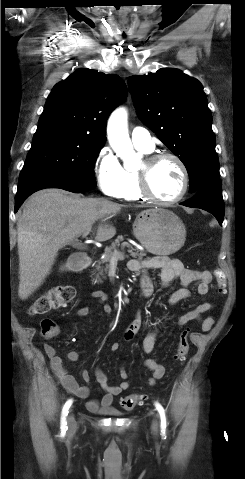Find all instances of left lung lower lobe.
<instances>
[{
  "mask_svg": "<svg viewBox=\"0 0 245 479\" xmlns=\"http://www.w3.org/2000/svg\"><path fill=\"white\" fill-rule=\"evenodd\" d=\"M182 205L191 208H200L212 213L222 226L224 218V201L222 197V183L214 181L195 193V196L183 202Z\"/></svg>",
  "mask_w": 245,
  "mask_h": 479,
  "instance_id": "left-lung-lower-lobe-1",
  "label": "left lung lower lobe"
}]
</instances>
